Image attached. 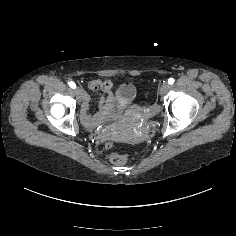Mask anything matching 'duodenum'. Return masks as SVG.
<instances>
[{
  "label": "duodenum",
  "instance_id": "duodenum-1",
  "mask_svg": "<svg viewBox=\"0 0 236 236\" xmlns=\"http://www.w3.org/2000/svg\"><path fill=\"white\" fill-rule=\"evenodd\" d=\"M106 96L100 100L101 111L96 115H89V97L86 95L83 102L82 121L87 127H95L100 124L112 112L113 96L109 91H105Z\"/></svg>",
  "mask_w": 236,
  "mask_h": 236
}]
</instances>
